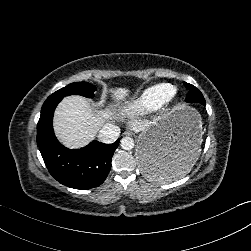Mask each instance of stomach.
<instances>
[{"label": "stomach", "mask_w": 251, "mask_h": 251, "mask_svg": "<svg viewBox=\"0 0 251 251\" xmlns=\"http://www.w3.org/2000/svg\"><path fill=\"white\" fill-rule=\"evenodd\" d=\"M202 116L186 103L156 116L140 133L136 159L148 181H169L184 175L199 161Z\"/></svg>", "instance_id": "obj_1"}]
</instances>
